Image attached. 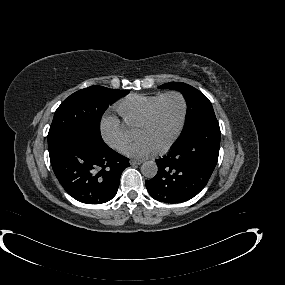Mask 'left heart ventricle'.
I'll list each match as a JSON object with an SVG mask.
<instances>
[{"label":"left heart ventricle","instance_id":"obj_1","mask_svg":"<svg viewBox=\"0 0 285 285\" xmlns=\"http://www.w3.org/2000/svg\"><path fill=\"white\" fill-rule=\"evenodd\" d=\"M182 103L177 97L166 98L159 106L155 119L146 127L137 129L136 136L145 138L155 147L165 144L178 128Z\"/></svg>","mask_w":285,"mask_h":285}]
</instances>
